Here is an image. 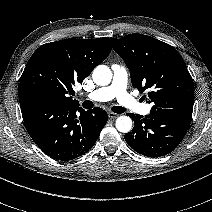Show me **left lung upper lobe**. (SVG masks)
Segmentation results:
<instances>
[{"label": "left lung upper lobe", "instance_id": "1", "mask_svg": "<svg viewBox=\"0 0 212 212\" xmlns=\"http://www.w3.org/2000/svg\"><path fill=\"white\" fill-rule=\"evenodd\" d=\"M112 44L131 73L132 85L149 91L153 108L193 109V79L174 47L142 34L112 38Z\"/></svg>", "mask_w": 212, "mask_h": 212}]
</instances>
